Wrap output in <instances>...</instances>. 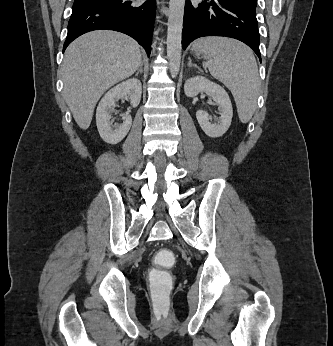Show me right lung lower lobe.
<instances>
[{
  "label": "right lung lower lobe",
  "instance_id": "right-lung-lower-lobe-1",
  "mask_svg": "<svg viewBox=\"0 0 333 346\" xmlns=\"http://www.w3.org/2000/svg\"><path fill=\"white\" fill-rule=\"evenodd\" d=\"M155 2L147 0H75L63 46L93 30H114L134 38L151 52Z\"/></svg>",
  "mask_w": 333,
  "mask_h": 346
}]
</instances>
